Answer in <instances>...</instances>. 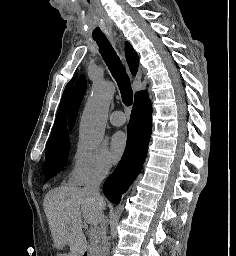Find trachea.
I'll use <instances>...</instances> for the list:
<instances>
[{
    "label": "trachea",
    "mask_w": 236,
    "mask_h": 256,
    "mask_svg": "<svg viewBox=\"0 0 236 256\" xmlns=\"http://www.w3.org/2000/svg\"><path fill=\"white\" fill-rule=\"evenodd\" d=\"M95 41L98 44L99 52L101 53L103 60L106 62V65L118 84L124 105H132L133 91L130 84V78L126 73L120 58L107 38H99Z\"/></svg>",
    "instance_id": "3493384b"
}]
</instances>
